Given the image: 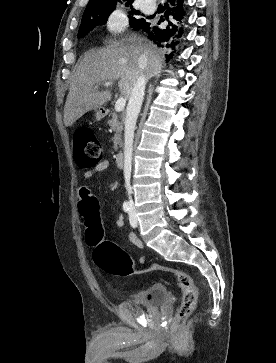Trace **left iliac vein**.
<instances>
[{"instance_id": "1", "label": "left iliac vein", "mask_w": 276, "mask_h": 363, "mask_svg": "<svg viewBox=\"0 0 276 363\" xmlns=\"http://www.w3.org/2000/svg\"><path fill=\"white\" fill-rule=\"evenodd\" d=\"M129 221L132 227H135L137 225L138 220L134 205H131V209L129 212Z\"/></svg>"}]
</instances>
